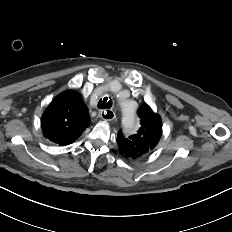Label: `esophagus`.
I'll return each mask as SVG.
<instances>
[{
    "instance_id": "obj_1",
    "label": "esophagus",
    "mask_w": 232,
    "mask_h": 232,
    "mask_svg": "<svg viewBox=\"0 0 232 232\" xmlns=\"http://www.w3.org/2000/svg\"><path fill=\"white\" fill-rule=\"evenodd\" d=\"M99 116L105 121H112L116 117L114 111L111 109L102 110Z\"/></svg>"
}]
</instances>
